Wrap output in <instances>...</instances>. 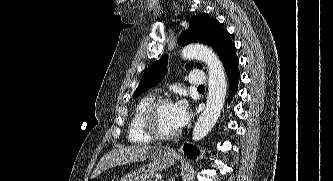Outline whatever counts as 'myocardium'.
I'll return each instance as SVG.
<instances>
[{"mask_svg": "<svg viewBox=\"0 0 333 181\" xmlns=\"http://www.w3.org/2000/svg\"><path fill=\"white\" fill-rule=\"evenodd\" d=\"M173 104V100L169 97H159L154 99L143 113L142 123L144 130L157 140H170L176 138L180 134V130L171 133H165L160 130L157 124V116L162 106Z\"/></svg>", "mask_w": 333, "mask_h": 181, "instance_id": "f54148a6", "label": "myocardium"}]
</instances>
